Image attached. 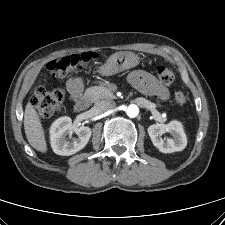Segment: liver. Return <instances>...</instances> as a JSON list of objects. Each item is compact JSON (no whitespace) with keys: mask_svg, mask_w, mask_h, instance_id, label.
<instances>
[{"mask_svg":"<svg viewBox=\"0 0 225 225\" xmlns=\"http://www.w3.org/2000/svg\"><path fill=\"white\" fill-rule=\"evenodd\" d=\"M24 129L29 144L42 153L47 151L44 130L33 105L28 102L24 112Z\"/></svg>","mask_w":225,"mask_h":225,"instance_id":"liver-1","label":"liver"}]
</instances>
